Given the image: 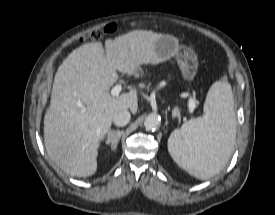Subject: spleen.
<instances>
[{"label":"spleen","instance_id":"3e777b00","mask_svg":"<svg viewBox=\"0 0 275 215\" xmlns=\"http://www.w3.org/2000/svg\"><path fill=\"white\" fill-rule=\"evenodd\" d=\"M236 139V118L231 85L227 78L210 87L204 115L191 119L168 139L174 161L190 175L206 180L228 162Z\"/></svg>","mask_w":275,"mask_h":215}]
</instances>
